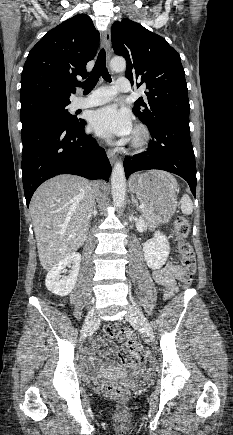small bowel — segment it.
<instances>
[{"label": "small bowel", "instance_id": "c3829d8e", "mask_svg": "<svg viewBox=\"0 0 233 435\" xmlns=\"http://www.w3.org/2000/svg\"><path fill=\"white\" fill-rule=\"evenodd\" d=\"M187 271L184 267L167 262L161 269L154 271V281L165 289L164 299H170L176 292V279L186 276ZM102 347H106L103 350ZM123 350L132 354V359L128 362L110 361L107 365L101 361L107 355L121 357V354L109 337H100L95 340L93 346L84 357L87 364L88 373L96 374L100 372H130L140 375L145 370V362L140 354L127 349L126 345Z\"/></svg>", "mask_w": 233, "mask_h": 435}]
</instances>
